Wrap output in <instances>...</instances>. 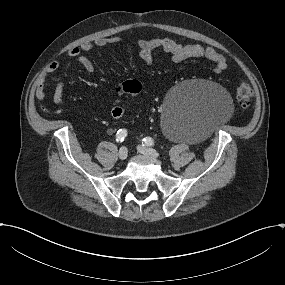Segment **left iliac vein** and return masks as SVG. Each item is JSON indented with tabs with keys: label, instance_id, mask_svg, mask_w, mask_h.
<instances>
[{
	"label": "left iliac vein",
	"instance_id": "left-iliac-vein-1",
	"mask_svg": "<svg viewBox=\"0 0 285 285\" xmlns=\"http://www.w3.org/2000/svg\"><path fill=\"white\" fill-rule=\"evenodd\" d=\"M138 151L144 155H147V156H150V157H153V158H158L159 155L158 153L154 150V149H151V148H146L142 145H139L137 147Z\"/></svg>",
	"mask_w": 285,
	"mask_h": 285
}]
</instances>
